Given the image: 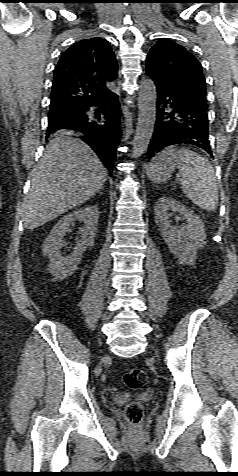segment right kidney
Returning <instances> with one entry per match:
<instances>
[{
    "label": "right kidney",
    "mask_w": 238,
    "mask_h": 476,
    "mask_svg": "<svg viewBox=\"0 0 238 476\" xmlns=\"http://www.w3.org/2000/svg\"><path fill=\"white\" fill-rule=\"evenodd\" d=\"M99 210L95 205L86 206L65 215L53 227L45 240L42 251L49 259V271L57 280L68 278L81 262L87 247L94 242L97 232ZM83 222L79 228L80 238L70 256L63 257L61 248L66 245L63 237L70 231V225L75 221Z\"/></svg>",
    "instance_id": "right-kidney-1"
}]
</instances>
